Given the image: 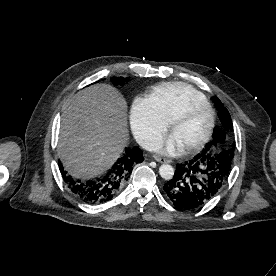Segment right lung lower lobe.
<instances>
[{
  "mask_svg": "<svg viewBox=\"0 0 276 276\" xmlns=\"http://www.w3.org/2000/svg\"><path fill=\"white\" fill-rule=\"evenodd\" d=\"M143 160L141 149L138 147L126 148L124 154L105 175L86 181L66 175L60 162L59 166L71 191L81 200L97 204L111 200L125 186L133 167Z\"/></svg>",
  "mask_w": 276,
  "mask_h": 276,
  "instance_id": "right-lung-lower-lobe-1",
  "label": "right lung lower lobe"
}]
</instances>
